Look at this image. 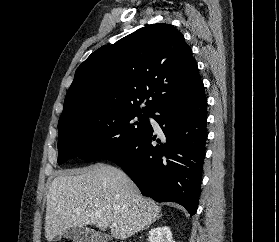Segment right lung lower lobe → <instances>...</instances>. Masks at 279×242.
Instances as JSON below:
<instances>
[{
    "mask_svg": "<svg viewBox=\"0 0 279 242\" xmlns=\"http://www.w3.org/2000/svg\"><path fill=\"white\" fill-rule=\"evenodd\" d=\"M151 117L164 137L157 138L150 125L137 141L105 159L121 166L143 195L157 202H177L192 216L201 193L208 135L204 87L158 108Z\"/></svg>",
    "mask_w": 279,
    "mask_h": 242,
    "instance_id": "1",
    "label": "right lung lower lobe"
}]
</instances>
